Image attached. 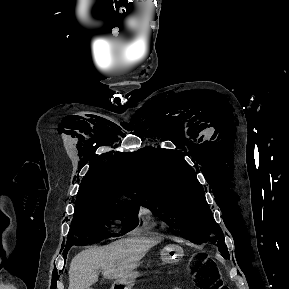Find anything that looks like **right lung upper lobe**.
Here are the masks:
<instances>
[{
	"mask_svg": "<svg viewBox=\"0 0 289 289\" xmlns=\"http://www.w3.org/2000/svg\"><path fill=\"white\" fill-rule=\"evenodd\" d=\"M131 157L128 153L108 155L106 164L94 165L83 178L76 201L82 200H130L137 201L131 167L125 164ZM136 198V199H135Z\"/></svg>",
	"mask_w": 289,
	"mask_h": 289,
	"instance_id": "cb5924a9",
	"label": "right lung upper lobe"
}]
</instances>
